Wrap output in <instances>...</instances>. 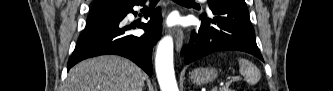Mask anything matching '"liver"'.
<instances>
[{"label": "liver", "instance_id": "6515ba94", "mask_svg": "<svg viewBox=\"0 0 333 91\" xmlns=\"http://www.w3.org/2000/svg\"><path fill=\"white\" fill-rule=\"evenodd\" d=\"M144 79L143 71L130 60L100 56L74 66L64 91H142Z\"/></svg>", "mask_w": 333, "mask_h": 91}]
</instances>
